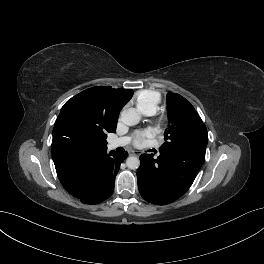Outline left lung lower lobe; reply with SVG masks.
I'll list each match as a JSON object with an SVG mask.
<instances>
[{
  "instance_id": "left-lung-lower-lobe-1",
  "label": "left lung lower lobe",
  "mask_w": 264,
  "mask_h": 264,
  "mask_svg": "<svg viewBox=\"0 0 264 264\" xmlns=\"http://www.w3.org/2000/svg\"><path fill=\"white\" fill-rule=\"evenodd\" d=\"M193 151L177 149L140 156L137 171L138 188L148 202L163 205L181 197L192 185L205 160L206 146L196 145Z\"/></svg>"
}]
</instances>
